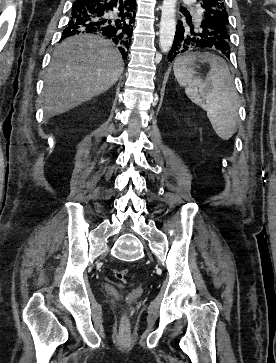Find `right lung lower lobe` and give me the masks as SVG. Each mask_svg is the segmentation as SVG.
<instances>
[{"mask_svg": "<svg viewBox=\"0 0 276 363\" xmlns=\"http://www.w3.org/2000/svg\"><path fill=\"white\" fill-rule=\"evenodd\" d=\"M135 10V0H76L62 38L79 33L102 35L114 42L126 58Z\"/></svg>", "mask_w": 276, "mask_h": 363, "instance_id": "obj_1", "label": "right lung lower lobe"}]
</instances>
